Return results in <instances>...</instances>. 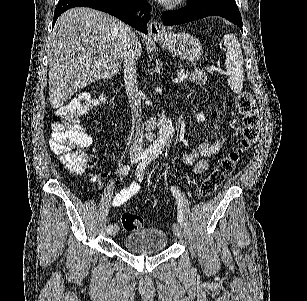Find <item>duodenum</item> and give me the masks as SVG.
Listing matches in <instances>:
<instances>
[{
  "mask_svg": "<svg viewBox=\"0 0 307 301\" xmlns=\"http://www.w3.org/2000/svg\"><path fill=\"white\" fill-rule=\"evenodd\" d=\"M156 122V118H151L145 122L144 126L146 129H152L156 125Z\"/></svg>",
  "mask_w": 307,
  "mask_h": 301,
  "instance_id": "duodenum-1",
  "label": "duodenum"
}]
</instances>
